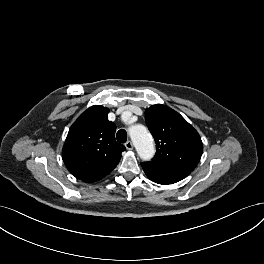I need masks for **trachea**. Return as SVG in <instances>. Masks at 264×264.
Listing matches in <instances>:
<instances>
[{"mask_svg": "<svg viewBox=\"0 0 264 264\" xmlns=\"http://www.w3.org/2000/svg\"><path fill=\"white\" fill-rule=\"evenodd\" d=\"M116 138H117V141L118 142L125 143L126 140H127V133H126V131L124 129H120L117 132Z\"/></svg>", "mask_w": 264, "mask_h": 264, "instance_id": "3493384b", "label": "trachea"}]
</instances>
